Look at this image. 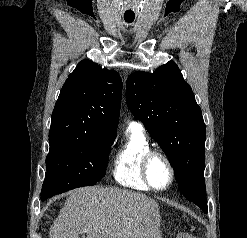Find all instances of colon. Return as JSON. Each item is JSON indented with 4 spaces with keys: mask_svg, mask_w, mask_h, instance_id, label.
Instances as JSON below:
<instances>
[{
    "mask_svg": "<svg viewBox=\"0 0 247 238\" xmlns=\"http://www.w3.org/2000/svg\"><path fill=\"white\" fill-rule=\"evenodd\" d=\"M177 238H195L193 235L189 234V233H179Z\"/></svg>",
    "mask_w": 247,
    "mask_h": 238,
    "instance_id": "colon-1",
    "label": "colon"
}]
</instances>
